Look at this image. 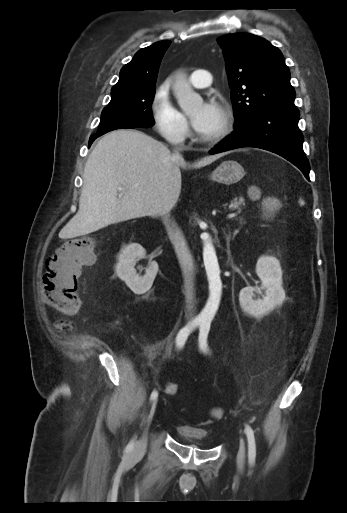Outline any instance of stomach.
<instances>
[{
    "label": "stomach",
    "instance_id": "stomach-1",
    "mask_svg": "<svg viewBox=\"0 0 347 513\" xmlns=\"http://www.w3.org/2000/svg\"><path fill=\"white\" fill-rule=\"evenodd\" d=\"M245 175L244 168L234 160L222 162L210 175L212 181L231 185L239 182Z\"/></svg>",
    "mask_w": 347,
    "mask_h": 513
}]
</instances>
